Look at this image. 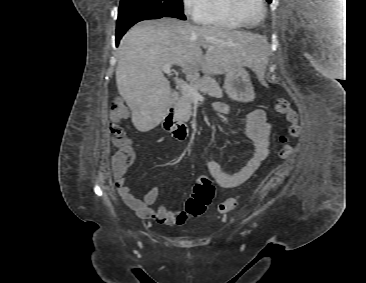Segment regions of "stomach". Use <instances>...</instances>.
<instances>
[{
  "mask_svg": "<svg viewBox=\"0 0 366 283\" xmlns=\"http://www.w3.org/2000/svg\"><path fill=\"white\" fill-rule=\"evenodd\" d=\"M225 91L231 99H238L240 87L242 85L250 86L248 73L242 67H235L225 72Z\"/></svg>",
  "mask_w": 366,
  "mask_h": 283,
  "instance_id": "stomach-1",
  "label": "stomach"
}]
</instances>
